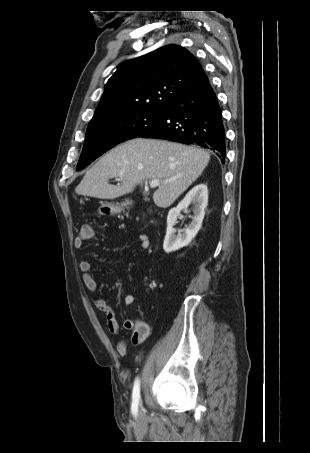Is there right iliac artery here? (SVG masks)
Wrapping results in <instances>:
<instances>
[{
  "label": "right iliac artery",
  "mask_w": 310,
  "mask_h": 453,
  "mask_svg": "<svg viewBox=\"0 0 310 453\" xmlns=\"http://www.w3.org/2000/svg\"><path fill=\"white\" fill-rule=\"evenodd\" d=\"M140 401V382L139 379L135 380L133 392H132V412L136 414L138 411V405Z\"/></svg>",
  "instance_id": "82829eb1"
}]
</instances>
